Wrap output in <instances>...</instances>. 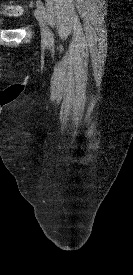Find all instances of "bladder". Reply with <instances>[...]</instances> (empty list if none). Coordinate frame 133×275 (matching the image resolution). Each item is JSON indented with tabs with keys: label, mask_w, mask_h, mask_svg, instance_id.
Returning a JSON list of instances; mask_svg holds the SVG:
<instances>
[{
	"label": "bladder",
	"mask_w": 133,
	"mask_h": 275,
	"mask_svg": "<svg viewBox=\"0 0 133 275\" xmlns=\"http://www.w3.org/2000/svg\"><path fill=\"white\" fill-rule=\"evenodd\" d=\"M3 24H4V22L0 20V25H3Z\"/></svg>",
	"instance_id": "31cf9c89"
}]
</instances>
